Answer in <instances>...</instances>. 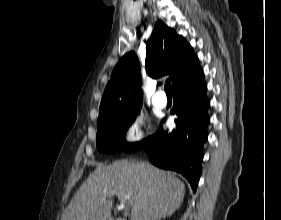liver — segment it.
I'll return each instance as SVG.
<instances>
[{
    "label": "liver",
    "mask_w": 281,
    "mask_h": 220,
    "mask_svg": "<svg viewBox=\"0 0 281 220\" xmlns=\"http://www.w3.org/2000/svg\"><path fill=\"white\" fill-rule=\"evenodd\" d=\"M110 191L131 196L130 220H160L179 209L185 185L147 162L99 165L77 190L61 220H112L113 195L105 193Z\"/></svg>",
    "instance_id": "6515ba94"
}]
</instances>
